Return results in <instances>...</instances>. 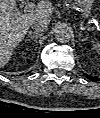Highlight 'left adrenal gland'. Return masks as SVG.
Wrapping results in <instances>:
<instances>
[{"label": "left adrenal gland", "mask_w": 100, "mask_h": 118, "mask_svg": "<svg viewBox=\"0 0 100 118\" xmlns=\"http://www.w3.org/2000/svg\"><path fill=\"white\" fill-rule=\"evenodd\" d=\"M85 40H87V37L82 39V34H81V32H79V41L82 42V41H85Z\"/></svg>", "instance_id": "1"}]
</instances>
